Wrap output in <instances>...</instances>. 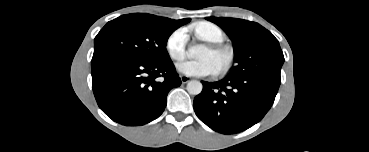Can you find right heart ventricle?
<instances>
[{
	"label": "right heart ventricle",
	"instance_id": "1",
	"mask_svg": "<svg viewBox=\"0 0 369 152\" xmlns=\"http://www.w3.org/2000/svg\"><path fill=\"white\" fill-rule=\"evenodd\" d=\"M192 31L197 37L210 43H220L225 38L223 31L217 25L207 21L195 23Z\"/></svg>",
	"mask_w": 369,
	"mask_h": 152
}]
</instances>
